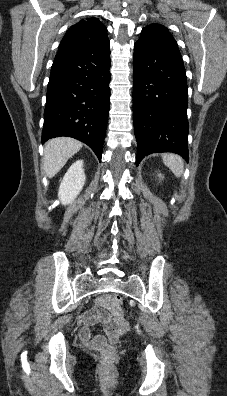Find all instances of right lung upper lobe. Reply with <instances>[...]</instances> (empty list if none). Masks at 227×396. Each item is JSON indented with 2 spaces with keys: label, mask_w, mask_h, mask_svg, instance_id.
I'll use <instances>...</instances> for the list:
<instances>
[{
  "label": "right lung upper lobe",
  "mask_w": 227,
  "mask_h": 396,
  "mask_svg": "<svg viewBox=\"0 0 227 396\" xmlns=\"http://www.w3.org/2000/svg\"><path fill=\"white\" fill-rule=\"evenodd\" d=\"M107 41V29L97 18L82 19L66 32L58 54L81 51Z\"/></svg>",
  "instance_id": "1"
}]
</instances>
